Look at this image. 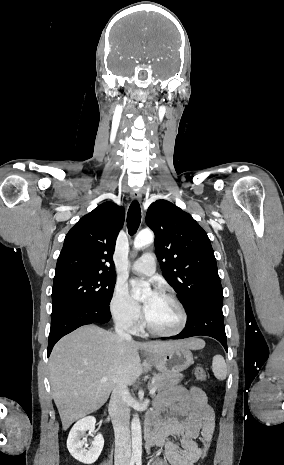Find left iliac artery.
Wrapping results in <instances>:
<instances>
[{
	"mask_svg": "<svg viewBox=\"0 0 284 465\" xmlns=\"http://www.w3.org/2000/svg\"><path fill=\"white\" fill-rule=\"evenodd\" d=\"M136 465H142L141 459L136 460Z\"/></svg>",
	"mask_w": 284,
	"mask_h": 465,
	"instance_id": "obj_1",
	"label": "left iliac artery"
}]
</instances>
